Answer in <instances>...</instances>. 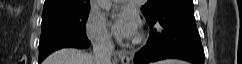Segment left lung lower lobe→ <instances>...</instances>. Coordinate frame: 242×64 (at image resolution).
<instances>
[{
	"label": "left lung lower lobe",
	"mask_w": 242,
	"mask_h": 64,
	"mask_svg": "<svg viewBox=\"0 0 242 64\" xmlns=\"http://www.w3.org/2000/svg\"><path fill=\"white\" fill-rule=\"evenodd\" d=\"M146 20L151 28L150 36L146 45L135 54V64L163 59L204 64L205 55L196 27L193 0L173 1Z\"/></svg>",
	"instance_id": "obj_1"
}]
</instances>
